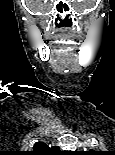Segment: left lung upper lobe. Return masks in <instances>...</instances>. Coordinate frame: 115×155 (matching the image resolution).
Here are the masks:
<instances>
[{
	"instance_id": "5c2ea615",
	"label": "left lung upper lobe",
	"mask_w": 115,
	"mask_h": 155,
	"mask_svg": "<svg viewBox=\"0 0 115 155\" xmlns=\"http://www.w3.org/2000/svg\"><path fill=\"white\" fill-rule=\"evenodd\" d=\"M91 152H93V153H94L95 151H91ZM92 155H95V154H92Z\"/></svg>"
}]
</instances>
